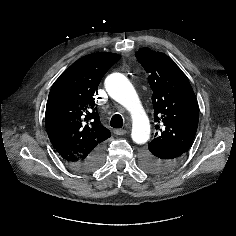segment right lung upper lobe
<instances>
[{
    "instance_id": "1",
    "label": "right lung upper lobe",
    "mask_w": 236,
    "mask_h": 236,
    "mask_svg": "<svg viewBox=\"0 0 236 236\" xmlns=\"http://www.w3.org/2000/svg\"><path fill=\"white\" fill-rule=\"evenodd\" d=\"M119 59L115 53L86 55L53 84L46 105L45 126L61 158L85 159L110 137V131L100 123L93 96L104 74Z\"/></svg>"
}]
</instances>
